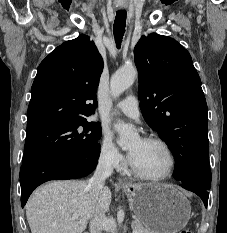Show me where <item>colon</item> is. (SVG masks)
Here are the masks:
<instances>
[{
	"mask_svg": "<svg viewBox=\"0 0 227 233\" xmlns=\"http://www.w3.org/2000/svg\"><path fill=\"white\" fill-rule=\"evenodd\" d=\"M179 233H193L190 229H183Z\"/></svg>",
	"mask_w": 227,
	"mask_h": 233,
	"instance_id": "obj_1",
	"label": "colon"
}]
</instances>
